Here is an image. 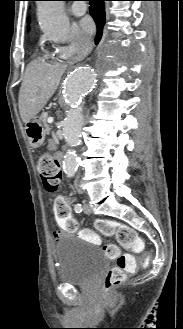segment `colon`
I'll return each instance as SVG.
<instances>
[{"label":"colon","instance_id":"1","mask_svg":"<svg viewBox=\"0 0 183 329\" xmlns=\"http://www.w3.org/2000/svg\"><path fill=\"white\" fill-rule=\"evenodd\" d=\"M37 169L45 189L49 192L56 191L62 179L58 160L48 153L42 154L37 162ZM96 228L104 236H115L118 243L124 248L134 251L144 249V243L129 226L107 219H99L96 221ZM105 252L109 257L116 258L115 265L107 272L104 279L105 289L110 290L122 284L128 275L134 273L137 263L131 253L118 254V248L115 245L105 246Z\"/></svg>","mask_w":183,"mask_h":329}]
</instances>
